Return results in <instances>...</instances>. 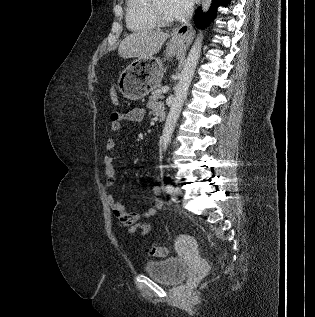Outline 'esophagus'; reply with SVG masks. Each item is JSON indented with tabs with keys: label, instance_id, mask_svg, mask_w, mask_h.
I'll use <instances>...</instances> for the list:
<instances>
[{
	"label": "esophagus",
	"instance_id": "esophagus-1",
	"mask_svg": "<svg viewBox=\"0 0 315 317\" xmlns=\"http://www.w3.org/2000/svg\"><path fill=\"white\" fill-rule=\"evenodd\" d=\"M193 28L191 24H184L175 29L172 33L173 39L178 41L182 47L186 48L190 45L193 39Z\"/></svg>",
	"mask_w": 315,
	"mask_h": 317
}]
</instances>
